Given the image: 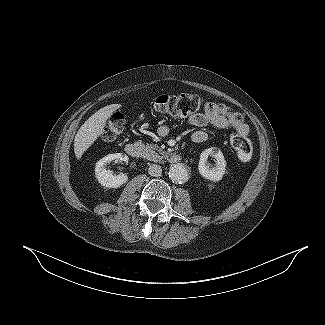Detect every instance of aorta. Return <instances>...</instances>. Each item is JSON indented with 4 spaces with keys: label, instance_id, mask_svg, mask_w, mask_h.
Listing matches in <instances>:
<instances>
[{
    "label": "aorta",
    "instance_id": "1",
    "mask_svg": "<svg viewBox=\"0 0 325 325\" xmlns=\"http://www.w3.org/2000/svg\"><path fill=\"white\" fill-rule=\"evenodd\" d=\"M188 170L182 164H174L170 167L169 177L175 183H183L188 180Z\"/></svg>",
    "mask_w": 325,
    "mask_h": 325
}]
</instances>
